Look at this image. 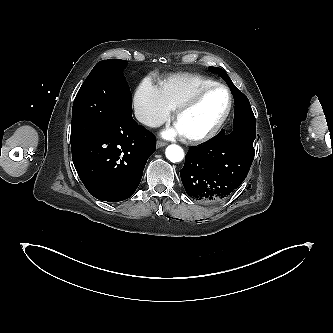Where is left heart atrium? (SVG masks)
<instances>
[{
	"mask_svg": "<svg viewBox=\"0 0 333 333\" xmlns=\"http://www.w3.org/2000/svg\"><path fill=\"white\" fill-rule=\"evenodd\" d=\"M177 135H183L178 127H175V128H172V129H169V130H166L163 132V136L166 138H172Z\"/></svg>",
	"mask_w": 333,
	"mask_h": 333,
	"instance_id": "obj_1",
	"label": "left heart atrium"
}]
</instances>
